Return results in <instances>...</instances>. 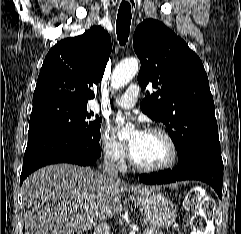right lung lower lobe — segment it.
<instances>
[{
	"instance_id": "right-lung-lower-lobe-1",
	"label": "right lung lower lobe",
	"mask_w": 241,
	"mask_h": 234,
	"mask_svg": "<svg viewBox=\"0 0 241 234\" xmlns=\"http://www.w3.org/2000/svg\"><path fill=\"white\" fill-rule=\"evenodd\" d=\"M100 155V144L90 146L68 135L50 133L30 137L23 158L20 183L30 173L45 165L73 163L88 166L95 163Z\"/></svg>"
}]
</instances>
